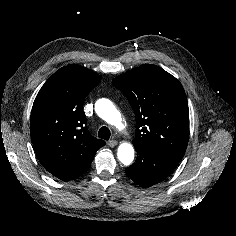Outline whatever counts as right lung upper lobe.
Segmentation results:
<instances>
[{"label":"right lung upper lobe","instance_id":"cb5924a9","mask_svg":"<svg viewBox=\"0 0 236 236\" xmlns=\"http://www.w3.org/2000/svg\"><path fill=\"white\" fill-rule=\"evenodd\" d=\"M95 72L67 65L56 71L37 94L31 112L30 134L36 155L54 176L91 164L105 145L85 127L83 103L100 82Z\"/></svg>","mask_w":236,"mask_h":236}]
</instances>
